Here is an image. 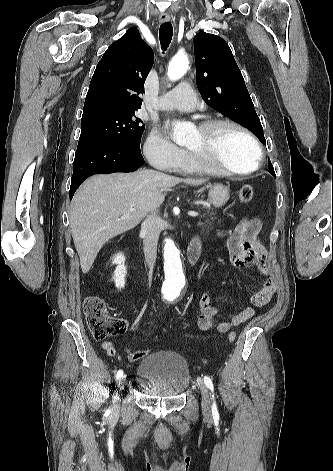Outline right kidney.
Wrapping results in <instances>:
<instances>
[{
	"instance_id": "1",
	"label": "right kidney",
	"mask_w": 333,
	"mask_h": 471,
	"mask_svg": "<svg viewBox=\"0 0 333 471\" xmlns=\"http://www.w3.org/2000/svg\"><path fill=\"white\" fill-rule=\"evenodd\" d=\"M113 263L117 265L115 271H114V276L113 280L115 282V286L118 289L124 288L125 286V276H126V267L124 265L125 263V256L123 254H117L113 258Z\"/></svg>"
}]
</instances>
